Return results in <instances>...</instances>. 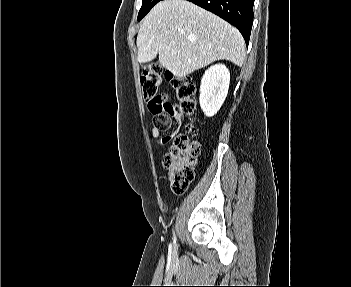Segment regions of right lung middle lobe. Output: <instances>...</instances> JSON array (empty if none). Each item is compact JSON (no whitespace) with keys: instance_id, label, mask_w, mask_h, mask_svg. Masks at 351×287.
Instances as JSON below:
<instances>
[{"instance_id":"right-lung-middle-lobe-1","label":"right lung middle lobe","mask_w":351,"mask_h":287,"mask_svg":"<svg viewBox=\"0 0 351 287\" xmlns=\"http://www.w3.org/2000/svg\"><path fill=\"white\" fill-rule=\"evenodd\" d=\"M160 0H142V7L138 14V21H140Z\"/></svg>"}]
</instances>
